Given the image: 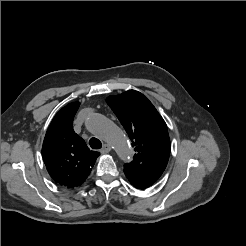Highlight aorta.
<instances>
[{"label": "aorta", "instance_id": "1", "mask_svg": "<svg viewBox=\"0 0 246 246\" xmlns=\"http://www.w3.org/2000/svg\"><path fill=\"white\" fill-rule=\"evenodd\" d=\"M85 124L90 132L109 143L122 160L126 161L132 157L133 151L125 134L105 116L99 113H92Z\"/></svg>", "mask_w": 246, "mask_h": 246}]
</instances>
